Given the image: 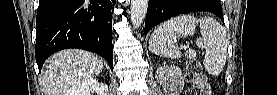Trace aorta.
Returning a JSON list of instances; mask_svg holds the SVG:
<instances>
[{
    "instance_id": "1",
    "label": "aorta",
    "mask_w": 277,
    "mask_h": 95,
    "mask_svg": "<svg viewBox=\"0 0 277 95\" xmlns=\"http://www.w3.org/2000/svg\"><path fill=\"white\" fill-rule=\"evenodd\" d=\"M147 8L148 0H131L130 18L135 28H138L143 23Z\"/></svg>"
}]
</instances>
